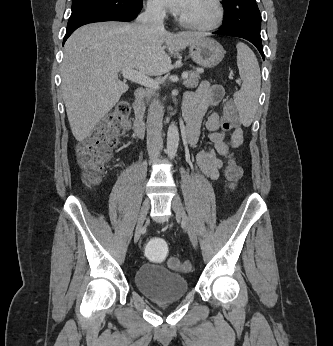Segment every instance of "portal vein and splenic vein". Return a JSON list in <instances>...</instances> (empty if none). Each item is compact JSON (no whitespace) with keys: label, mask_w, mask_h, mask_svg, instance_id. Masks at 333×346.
Instances as JSON below:
<instances>
[{"label":"portal vein and splenic vein","mask_w":333,"mask_h":346,"mask_svg":"<svg viewBox=\"0 0 333 346\" xmlns=\"http://www.w3.org/2000/svg\"><path fill=\"white\" fill-rule=\"evenodd\" d=\"M122 76L130 81L138 83L146 88L157 90L160 88L159 83L151 79L150 77L135 71L131 68H124L121 70ZM188 78V73L184 72L182 74V79L185 80Z\"/></svg>","instance_id":"18ae733b"}]
</instances>
